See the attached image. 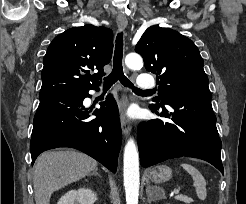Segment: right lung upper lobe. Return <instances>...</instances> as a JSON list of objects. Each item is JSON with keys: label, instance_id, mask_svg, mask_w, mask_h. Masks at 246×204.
I'll use <instances>...</instances> for the list:
<instances>
[{"label": "right lung upper lobe", "instance_id": "cb5924a9", "mask_svg": "<svg viewBox=\"0 0 246 204\" xmlns=\"http://www.w3.org/2000/svg\"><path fill=\"white\" fill-rule=\"evenodd\" d=\"M113 51L112 30L85 25L66 30L47 49L40 96L64 90L98 87ZM98 73L90 75V70Z\"/></svg>", "mask_w": 246, "mask_h": 204}]
</instances>
